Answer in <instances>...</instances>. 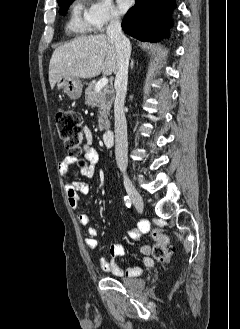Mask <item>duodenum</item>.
Masks as SVG:
<instances>
[{
  "mask_svg": "<svg viewBox=\"0 0 240 329\" xmlns=\"http://www.w3.org/2000/svg\"><path fill=\"white\" fill-rule=\"evenodd\" d=\"M102 139L107 146H112L114 143V131L112 129L106 130L102 135Z\"/></svg>",
  "mask_w": 240,
  "mask_h": 329,
  "instance_id": "duodenum-1",
  "label": "duodenum"
}]
</instances>
